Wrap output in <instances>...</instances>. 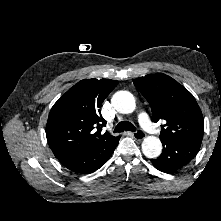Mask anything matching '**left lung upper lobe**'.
Here are the masks:
<instances>
[{"label": "left lung upper lobe", "mask_w": 221, "mask_h": 221, "mask_svg": "<svg viewBox=\"0 0 221 221\" xmlns=\"http://www.w3.org/2000/svg\"><path fill=\"white\" fill-rule=\"evenodd\" d=\"M134 85L152 108L153 122L164 120L161 141L202 138L204 121L193 95L176 80L162 73L148 74Z\"/></svg>", "instance_id": "left-lung-upper-lobe-1"}]
</instances>
